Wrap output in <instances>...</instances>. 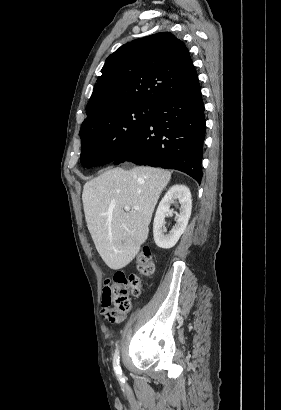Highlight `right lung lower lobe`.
<instances>
[{"label":"right lung lower lobe","mask_w":281,"mask_h":410,"mask_svg":"<svg viewBox=\"0 0 281 410\" xmlns=\"http://www.w3.org/2000/svg\"><path fill=\"white\" fill-rule=\"evenodd\" d=\"M205 129L204 104L197 83L183 93L159 101L153 107L150 122L113 163L131 161L176 169L200 183Z\"/></svg>","instance_id":"98d812e1"}]
</instances>
